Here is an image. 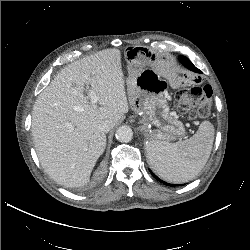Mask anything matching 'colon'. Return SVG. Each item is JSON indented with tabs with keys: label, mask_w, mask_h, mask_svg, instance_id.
<instances>
[{
	"label": "colon",
	"mask_w": 250,
	"mask_h": 250,
	"mask_svg": "<svg viewBox=\"0 0 250 250\" xmlns=\"http://www.w3.org/2000/svg\"><path fill=\"white\" fill-rule=\"evenodd\" d=\"M177 106L191 118H204L210 114L212 89L210 86H195L180 91L176 96Z\"/></svg>",
	"instance_id": "obj_1"
}]
</instances>
